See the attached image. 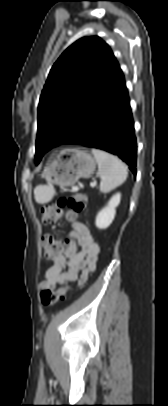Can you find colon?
<instances>
[{"mask_svg": "<svg viewBox=\"0 0 168 406\" xmlns=\"http://www.w3.org/2000/svg\"><path fill=\"white\" fill-rule=\"evenodd\" d=\"M68 208L69 211L64 209ZM86 208V197L82 194L64 196L58 199L55 204L45 206L41 211V221L44 224H55L63 218H72L75 214ZM45 257L54 260L62 253L61 242L52 237H43ZM70 291L68 286H64L56 291L44 289L40 294L41 303L49 307L65 298Z\"/></svg>", "mask_w": 168, "mask_h": 406, "instance_id": "colon-1", "label": "colon"}]
</instances>
